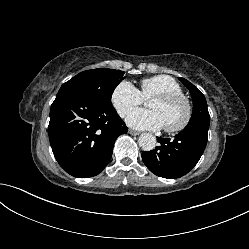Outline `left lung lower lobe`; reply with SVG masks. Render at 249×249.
Wrapping results in <instances>:
<instances>
[{"instance_id": "0a47b994", "label": "left lung lower lobe", "mask_w": 249, "mask_h": 249, "mask_svg": "<svg viewBox=\"0 0 249 249\" xmlns=\"http://www.w3.org/2000/svg\"><path fill=\"white\" fill-rule=\"evenodd\" d=\"M210 118L189 121L174 139L158 138L151 151L142 152L147 168L157 176L174 179L187 174L199 161L208 140Z\"/></svg>"}]
</instances>
